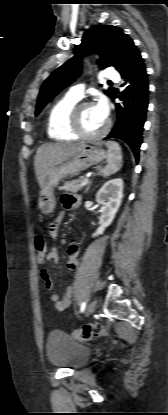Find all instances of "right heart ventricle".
<instances>
[{
    "mask_svg": "<svg viewBox=\"0 0 168 415\" xmlns=\"http://www.w3.org/2000/svg\"><path fill=\"white\" fill-rule=\"evenodd\" d=\"M77 102L78 100L66 95L52 107L47 125V132L51 139L56 141L78 139L70 126V114Z\"/></svg>",
    "mask_w": 168,
    "mask_h": 415,
    "instance_id": "obj_1",
    "label": "right heart ventricle"
}]
</instances>
